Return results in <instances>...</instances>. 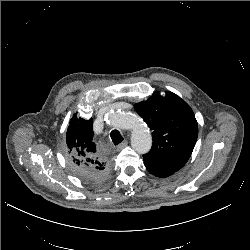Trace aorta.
<instances>
[{
    "label": "aorta",
    "mask_w": 250,
    "mask_h": 250,
    "mask_svg": "<svg viewBox=\"0 0 250 250\" xmlns=\"http://www.w3.org/2000/svg\"><path fill=\"white\" fill-rule=\"evenodd\" d=\"M107 121L115 128L132 130L131 146L137 153L149 152L152 146V136L148 127L136 115L112 112L108 114Z\"/></svg>",
    "instance_id": "obj_1"
}]
</instances>
